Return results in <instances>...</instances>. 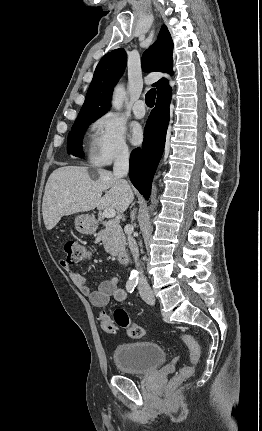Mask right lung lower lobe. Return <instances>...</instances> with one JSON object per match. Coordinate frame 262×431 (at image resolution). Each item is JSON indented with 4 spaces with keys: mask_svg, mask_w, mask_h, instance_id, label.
Segmentation results:
<instances>
[{
    "mask_svg": "<svg viewBox=\"0 0 262 431\" xmlns=\"http://www.w3.org/2000/svg\"><path fill=\"white\" fill-rule=\"evenodd\" d=\"M171 89L157 96L144 130L142 148H136L130 156L129 177L136 189L148 199L154 173L162 156L169 123Z\"/></svg>",
    "mask_w": 262,
    "mask_h": 431,
    "instance_id": "right-lung-lower-lobe-1",
    "label": "right lung lower lobe"
}]
</instances>
